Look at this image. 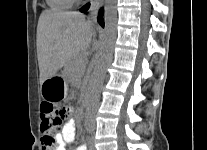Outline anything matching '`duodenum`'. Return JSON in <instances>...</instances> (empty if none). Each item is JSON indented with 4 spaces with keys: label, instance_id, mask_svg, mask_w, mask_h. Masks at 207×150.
<instances>
[{
    "label": "duodenum",
    "instance_id": "1",
    "mask_svg": "<svg viewBox=\"0 0 207 150\" xmlns=\"http://www.w3.org/2000/svg\"><path fill=\"white\" fill-rule=\"evenodd\" d=\"M92 92H93V85L90 84L85 90V100H86V102H89L91 100Z\"/></svg>",
    "mask_w": 207,
    "mask_h": 150
}]
</instances>
